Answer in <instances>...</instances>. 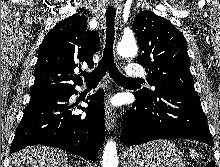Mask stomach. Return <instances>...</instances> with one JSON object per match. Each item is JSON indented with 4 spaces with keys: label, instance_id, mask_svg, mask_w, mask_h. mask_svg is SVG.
<instances>
[{
    "label": "stomach",
    "instance_id": "stomach-1",
    "mask_svg": "<svg viewBox=\"0 0 220 167\" xmlns=\"http://www.w3.org/2000/svg\"><path fill=\"white\" fill-rule=\"evenodd\" d=\"M125 156L128 167H185L182 152L167 140L135 146Z\"/></svg>",
    "mask_w": 220,
    "mask_h": 167
}]
</instances>
